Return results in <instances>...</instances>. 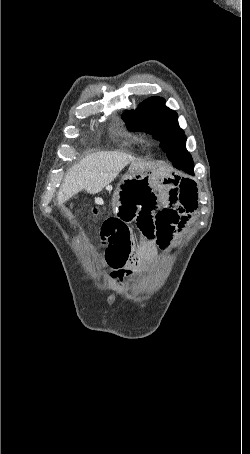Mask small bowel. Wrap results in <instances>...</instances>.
Masks as SVG:
<instances>
[{"instance_id":"small-bowel-1","label":"small bowel","mask_w":250,"mask_h":454,"mask_svg":"<svg viewBox=\"0 0 250 454\" xmlns=\"http://www.w3.org/2000/svg\"><path fill=\"white\" fill-rule=\"evenodd\" d=\"M197 184L191 178L174 175L129 172L113 189L115 215L100 229L105 262L113 279L133 276L152 262L147 247L136 251L129 224L136 223L141 234L166 247L179 233L197 207Z\"/></svg>"}]
</instances>
